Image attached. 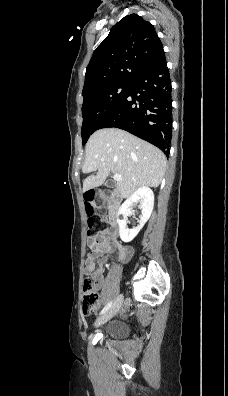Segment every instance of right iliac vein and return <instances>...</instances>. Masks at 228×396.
Wrapping results in <instances>:
<instances>
[{"label":"right iliac vein","mask_w":228,"mask_h":396,"mask_svg":"<svg viewBox=\"0 0 228 396\" xmlns=\"http://www.w3.org/2000/svg\"><path fill=\"white\" fill-rule=\"evenodd\" d=\"M122 304H123V296L119 295L115 300L114 304L112 305V307L110 308V310L105 314H103L101 317H99L96 320L95 325L99 326L109 321L112 317H114L118 313V311L122 307Z\"/></svg>","instance_id":"obj_1"}]
</instances>
